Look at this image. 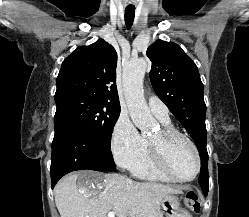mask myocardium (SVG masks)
<instances>
[{"mask_svg": "<svg viewBox=\"0 0 249 217\" xmlns=\"http://www.w3.org/2000/svg\"><path fill=\"white\" fill-rule=\"evenodd\" d=\"M160 137H161L160 142H153L151 140L149 142L150 153L157 169L165 176H167L169 179L175 182H190L194 180L198 176L201 170V157L196 144L186 134L171 127L162 128L160 130ZM175 139H182L185 142H187L194 152L196 158V169L191 177L188 178L178 177L172 172L169 166L167 158V147L168 144Z\"/></svg>", "mask_w": 249, "mask_h": 217, "instance_id": "f54148a6", "label": "myocardium"}]
</instances>
